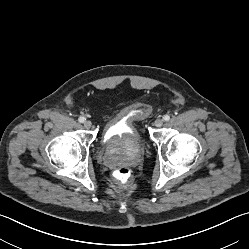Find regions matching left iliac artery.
Listing matches in <instances>:
<instances>
[{"label": "left iliac artery", "mask_w": 249, "mask_h": 249, "mask_svg": "<svg viewBox=\"0 0 249 249\" xmlns=\"http://www.w3.org/2000/svg\"><path fill=\"white\" fill-rule=\"evenodd\" d=\"M169 119H170V116H169V115L166 114V115L163 116V120H164V121H169Z\"/></svg>", "instance_id": "44dca946"}]
</instances>
